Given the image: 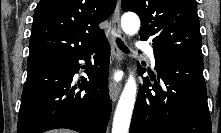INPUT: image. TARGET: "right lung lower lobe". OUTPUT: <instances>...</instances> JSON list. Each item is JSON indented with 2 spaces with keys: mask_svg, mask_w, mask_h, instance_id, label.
<instances>
[{
  "mask_svg": "<svg viewBox=\"0 0 221 133\" xmlns=\"http://www.w3.org/2000/svg\"><path fill=\"white\" fill-rule=\"evenodd\" d=\"M90 65L75 91L73 77L81 68L79 60ZM110 48L103 38L91 49L77 54L28 64L18 117L17 133H41L67 128L80 133H105L111 113L108 93ZM83 68V66H82Z\"/></svg>",
  "mask_w": 221,
  "mask_h": 133,
  "instance_id": "1",
  "label": "right lung lower lobe"
}]
</instances>
